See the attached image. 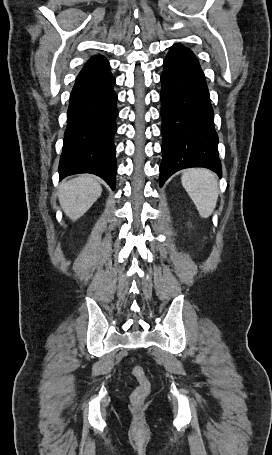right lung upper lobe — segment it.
<instances>
[{
  "label": "right lung upper lobe",
  "mask_w": 272,
  "mask_h": 455,
  "mask_svg": "<svg viewBox=\"0 0 272 455\" xmlns=\"http://www.w3.org/2000/svg\"><path fill=\"white\" fill-rule=\"evenodd\" d=\"M109 62L101 55H96L90 58L87 64L84 66L82 71L77 76V79L94 77L96 75L102 74L109 69Z\"/></svg>",
  "instance_id": "right-lung-upper-lobe-1"
}]
</instances>
